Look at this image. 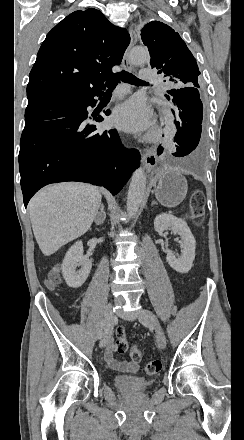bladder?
<instances>
[{
  "mask_svg": "<svg viewBox=\"0 0 244 440\" xmlns=\"http://www.w3.org/2000/svg\"><path fill=\"white\" fill-rule=\"evenodd\" d=\"M113 382L116 384L117 389L126 393H138L148 389L151 385L150 380L139 377H114Z\"/></svg>",
  "mask_w": 244,
  "mask_h": 440,
  "instance_id": "bladder-1",
  "label": "bladder"
}]
</instances>
